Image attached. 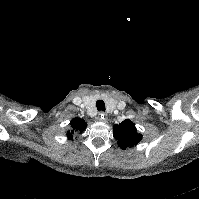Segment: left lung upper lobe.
Instances as JSON below:
<instances>
[{"label":"left lung upper lobe","instance_id":"obj_1","mask_svg":"<svg viewBox=\"0 0 199 199\" xmlns=\"http://www.w3.org/2000/svg\"><path fill=\"white\" fill-rule=\"evenodd\" d=\"M113 136L118 140L119 146L122 149L133 147L142 138V135L136 132L135 124L129 119L114 125Z\"/></svg>","mask_w":199,"mask_h":199}]
</instances>
